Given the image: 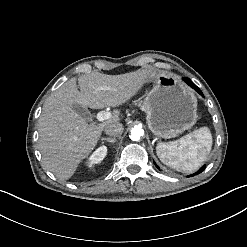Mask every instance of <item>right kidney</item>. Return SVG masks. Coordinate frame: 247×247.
I'll use <instances>...</instances> for the list:
<instances>
[{
	"instance_id": "right-kidney-1",
	"label": "right kidney",
	"mask_w": 247,
	"mask_h": 247,
	"mask_svg": "<svg viewBox=\"0 0 247 247\" xmlns=\"http://www.w3.org/2000/svg\"><path fill=\"white\" fill-rule=\"evenodd\" d=\"M108 154V147L106 145H100L96 148L86 159L85 166L88 169L94 168L100 164Z\"/></svg>"
}]
</instances>
